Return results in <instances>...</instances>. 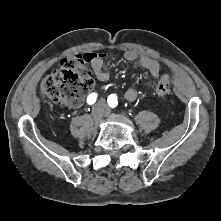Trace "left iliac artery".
<instances>
[{"label": "left iliac artery", "instance_id": "44dca946", "mask_svg": "<svg viewBox=\"0 0 221 221\" xmlns=\"http://www.w3.org/2000/svg\"><path fill=\"white\" fill-rule=\"evenodd\" d=\"M107 102L111 108H115L118 105L117 96L115 94H111L108 97Z\"/></svg>", "mask_w": 221, "mask_h": 221}]
</instances>
